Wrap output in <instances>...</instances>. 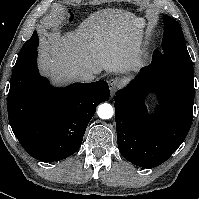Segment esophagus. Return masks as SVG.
I'll return each instance as SVG.
<instances>
[{"label":"esophagus","instance_id":"obj_1","mask_svg":"<svg viewBox=\"0 0 199 199\" xmlns=\"http://www.w3.org/2000/svg\"><path fill=\"white\" fill-rule=\"evenodd\" d=\"M109 86H110V96L111 98L114 96L115 92L117 91V89L120 86V80L115 78V79H111L109 81Z\"/></svg>","mask_w":199,"mask_h":199}]
</instances>
